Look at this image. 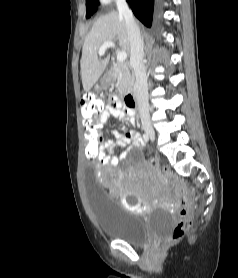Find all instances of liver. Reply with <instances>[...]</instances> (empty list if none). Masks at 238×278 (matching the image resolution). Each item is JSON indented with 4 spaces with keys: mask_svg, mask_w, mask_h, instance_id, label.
Returning a JSON list of instances; mask_svg holds the SVG:
<instances>
[{
    "mask_svg": "<svg viewBox=\"0 0 238 278\" xmlns=\"http://www.w3.org/2000/svg\"><path fill=\"white\" fill-rule=\"evenodd\" d=\"M107 41H118L122 51L130 49L125 19L116 11L99 17L85 38L81 57V78L85 92L91 90L109 63V55L102 61L98 59L99 48Z\"/></svg>",
    "mask_w": 238,
    "mask_h": 278,
    "instance_id": "1",
    "label": "liver"
}]
</instances>
